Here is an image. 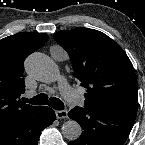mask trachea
Segmentation results:
<instances>
[{"mask_svg": "<svg viewBox=\"0 0 145 145\" xmlns=\"http://www.w3.org/2000/svg\"><path fill=\"white\" fill-rule=\"evenodd\" d=\"M24 103H30L33 105H46L52 107L55 110H63L64 104L63 102L56 98V97H50L48 98L47 94L41 93L31 99L23 98Z\"/></svg>", "mask_w": 145, "mask_h": 145, "instance_id": "trachea-1", "label": "trachea"}]
</instances>
